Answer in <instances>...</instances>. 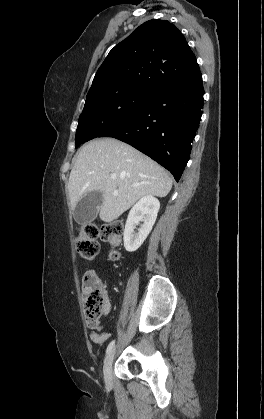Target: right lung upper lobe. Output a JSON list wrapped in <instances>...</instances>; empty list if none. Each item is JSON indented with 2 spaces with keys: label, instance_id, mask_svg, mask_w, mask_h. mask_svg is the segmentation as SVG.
<instances>
[{
  "label": "right lung upper lobe",
  "instance_id": "1",
  "mask_svg": "<svg viewBox=\"0 0 264 419\" xmlns=\"http://www.w3.org/2000/svg\"><path fill=\"white\" fill-rule=\"evenodd\" d=\"M201 79L196 57L180 30L168 21L152 19L109 52L88 93L126 86L156 92Z\"/></svg>",
  "mask_w": 264,
  "mask_h": 419
}]
</instances>
